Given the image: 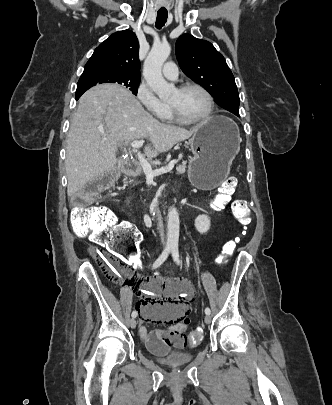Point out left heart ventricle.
I'll list each match as a JSON object with an SVG mask.
<instances>
[{"label": "left heart ventricle", "instance_id": "left-heart-ventricle-1", "mask_svg": "<svg viewBox=\"0 0 332 405\" xmlns=\"http://www.w3.org/2000/svg\"><path fill=\"white\" fill-rule=\"evenodd\" d=\"M168 103L173 104L184 118L190 120L203 116L208 109L206 96L197 89L183 92L176 89L168 99Z\"/></svg>", "mask_w": 332, "mask_h": 405}]
</instances>
